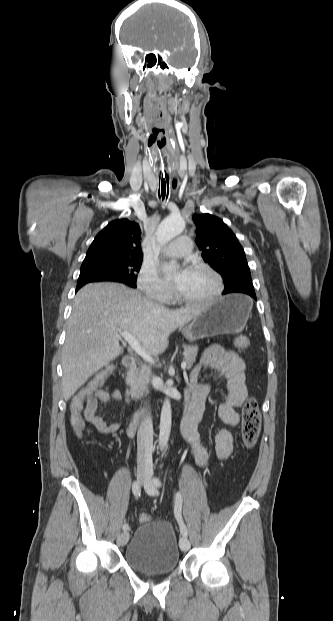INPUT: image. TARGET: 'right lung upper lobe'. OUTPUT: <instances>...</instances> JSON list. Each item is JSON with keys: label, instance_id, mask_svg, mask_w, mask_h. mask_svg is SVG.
Returning a JSON list of instances; mask_svg holds the SVG:
<instances>
[{"label": "right lung upper lobe", "instance_id": "1", "mask_svg": "<svg viewBox=\"0 0 333 621\" xmlns=\"http://www.w3.org/2000/svg\"><path fill=\"white\" fill-rule=\"evenodd\" d=\"M140 238L141 230L137 223L128 219L114 220L97 234L84 260L102 258L142 259Z\"/></svg>", "mask_w": 333, "mask_h": 621}]
</instances>
